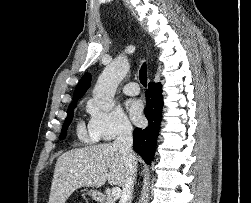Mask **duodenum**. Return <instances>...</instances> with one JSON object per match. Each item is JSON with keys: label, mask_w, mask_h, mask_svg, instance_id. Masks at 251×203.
Masks as SVG:
<instances>
[{"label": "duodenum", "mask_w": 251, "mask_h": 203, "mask_svg": "<svg viewBox=\"0 0 251 203\" xmlns=\"http://www.w3.org/2000/svg\"><path fill=\"white\" fill-rule=\"evenodd\" d=\"M96 197L99 201H104V195L102 193H98Z\"/></svg>", "instance_id": "410a0bca"}]
</instances>
